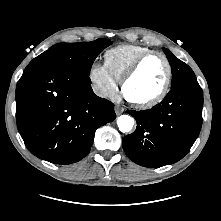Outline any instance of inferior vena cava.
Returning <instances> with one entry per match:
<instances>
[{"label":"inferior vena cava","instance_id":"inferior-vena-cava-1","mask_svg":"<svg viewBox=\"0 0 221 221\" xmlns=\"http://www.w3.org/2000/svg\"><path fill=\"white\" fill-rule=\"evenodd\" d=\"M94 92L96 95H98L100 97H106L108 95L105 90L97 88V87L94 88Z\"/></svg>","mask_w":221,"mask_h":221}]
</instances>
